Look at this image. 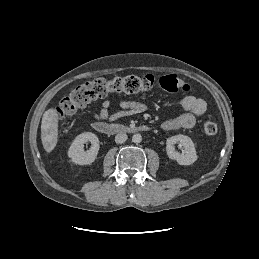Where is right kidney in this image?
Masks as SVG:
<instances>
[{
  "instance_id": "ca27d5eb",
  "label": "right kidney",
  "mask_w": 259,
  "mask_h": 259,
  "mask_svg": "<svg viewBox=\"0 0 259 259\" xmlns=\"http://www.w3.org/2000/svg\"><path fill=\"white\" fill-rule=\"evenodd\" d=\"M90 141L91 147L84 151V143ZM99 139L91 132H84L78 135L68 149V157L78 165H90L96 158L99 151Z\"/></svg>"
}]
</instances>
